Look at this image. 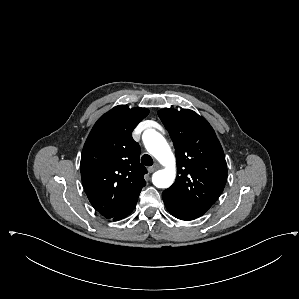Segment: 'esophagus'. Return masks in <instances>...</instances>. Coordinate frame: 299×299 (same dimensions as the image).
<instances>
[{
    "instance_id": "34e87169",
    "label": "esophagus",
    "mask_w": 299,
    "mask_h": 299,
    "mask_svg": "<svg viewBox=\"0 0 299 299\" xmlns=\"http://www.w3.org/2000/svg\"><path fill=\"white\" fill-rule=\"evenodd\" d=\"M159 167H160L159 164L156 163V164H154L153 166H151V167L148 168V172H149V173H153L154 171L158 170Z\"/></svg>"
}]
</instances>
